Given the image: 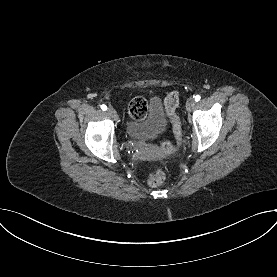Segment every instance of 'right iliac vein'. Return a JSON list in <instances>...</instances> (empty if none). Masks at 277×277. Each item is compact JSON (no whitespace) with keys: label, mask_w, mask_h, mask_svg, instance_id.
<instances>
[{"label":"right iliac vein","mask_w":277,"mask_h":277,"mask_svg":"<svg viewBox=\"0 0 277 277\" xmlns=\"http://www.w3.org/2000/svg\"><path fill=\"white\" fill-rule=\"evenodd\" d=\"M107 113L112 117L114 118L115 120L118 119V116H117V112L115 111V109L113 107H109L107 109Z\"/></svg>","instance_id":"right-iliac-vein-1"}]
</instances>
